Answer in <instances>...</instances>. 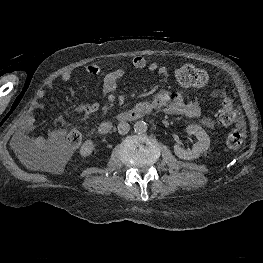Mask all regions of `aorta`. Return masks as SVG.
Wrapping results in <instances>:
<instances>
[{"mask_svg": "<svg viewBox=\"0 0 263 263\" xmlns=\"http://www.w3.org/2000/svg\"><path fill=\"white\" fill-rule=\"evenodd\" d=\"M148 129L147 123L145 121H137L134 124V131L136 133L142 134L145 133Z\"/></svg>", "mask_w": 263, "mask_h": 263, "instance_id": "1", "label": "aorta"}]
</instances>
